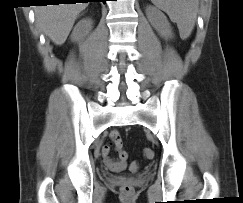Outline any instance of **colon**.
Here are the masks:
<instances>
[{"label": "colon", "mask_w": 243, "mask_h": 203, "mask_svg": "<svg viewBox=\"0 0 243 203\" xmlns=\"http://www.w3.org/2000/svg\"><path fill=\"white\" fill-rule=\"evenodd\" d=\"M143 156H144V158L151 160L154 158V152L151 149H145L143 151ZM120 157L122 159H126V157H127L126 151H120ZM121 191L124 194H131L133 191V188H132V186L125 184V185L121 186Z\"/></svg>", "instance_id": "1"}]
</instances>
